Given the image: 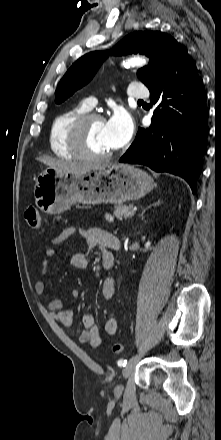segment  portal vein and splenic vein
Instances as JSON below:
<instances>
[{
    "label": "portal vein and splenic vein",
    "instance_id": "obj_1",
    "mask_svg": "<svg viewBox=\"0 0 221 440\" xmlns=\"http://www.w3.org/2000/svg\"><path fill=\"white\" fill-rule=\"evenodd\" d=\"M136 211H137V208L136 207H133V209L127 214V216L129 217V216H134V214L136 213Z\"/></svg>",
    "mask_w": 221,
    "mask_h": 440
}]
</instances>
